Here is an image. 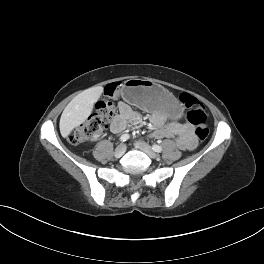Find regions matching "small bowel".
I'll return each mask as SVG.
<instances>
[{"label":"small bowel","instance_id":"c3829d8e","mask_svg":"<svg viewBox=\"0 0 264 264\" xmlns=\"http://www.w3.org/2000/svg\"><path fill=\"white\" fill-rule=\"evenodd\" d=\"M118 109L119 114L114 118L111 125L113 132L118 133L127 126L140 123V113L132 109L127 103L120 101ZM151 126V137L153 138H174L181 149L192 150L196 147L197 142L193 127L187 122L168 121L162 113L156 112L151 115Z\"/></svg>","mask_w":264,"mask_h":264}]
</instances>
